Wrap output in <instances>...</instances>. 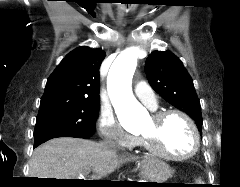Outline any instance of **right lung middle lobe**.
I'll return each mask as SVG.
<instances>
[{
	"label": "right lung middle lobe",
	"instance_id": "right-lung-middle-lobe-1",
	"mask_svg": "<svg viewBox=\"0 0 240 187\" xmlns=\"http://www.w3.org/2000/svg\"><path fill=\"white\" fill-rule=\"evenodd\" d=\"M100 102H63L40 106L34 137L65 132L89 138L95 132Z\"/></svg>",
	"mask_w": 240,
	"mask_h": 187
}]
</instances>
